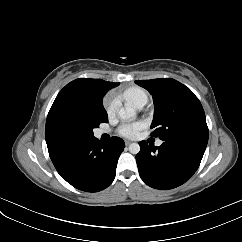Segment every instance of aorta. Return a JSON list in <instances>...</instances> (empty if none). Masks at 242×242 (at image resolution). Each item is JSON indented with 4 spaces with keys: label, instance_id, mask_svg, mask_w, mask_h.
Returning a JSON list of instances; mask_svg holds the SVG:
<instances>
[{
    "label": "aorta",
    "instance_id": "aorta-1",
    "mask_svg": "<svg viewBox=\"0 0 242 242\" xmlns=\"http://www.w3.org/2000/svg\"><path fill=\"white\" fill-rule=\"evenodd\" d=\"M118 115L122 120H129L136 115V110L132 107L126 106L119 109ZM129 152L132 154H138L140 152V145L138 143H131L129 145Z\"/></svg>",
    "mask_w": 242,
    "mask_h": 242
}]
</instances>
